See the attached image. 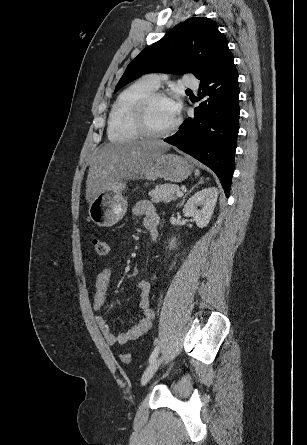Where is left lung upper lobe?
Wrapping results in <instances>:
<instances>
[{
  "mask_svg": "<svg viewBox=\"0 0 307 445\" xmlns=\"http://www.w3.org/2000/svg\"><path fill=\"white\" fill-rule=\"evenodd\" d=\"M231 56L227 40L217 26L206 17H192L132 60L115 91L152 72L192 73L201 80Z\"/></svg>",
  "mask_w": 307,
  "mask_h": 445,
  "instance_id": "5c2ea615",
  "label": "left lung upper lobe"
}]
</instances>
